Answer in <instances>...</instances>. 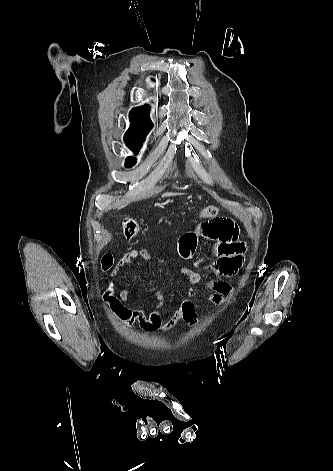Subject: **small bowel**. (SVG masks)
<instances>
[{"label":"small bowel","mask_w":333,"mask_h":471,"mask_svg":"<svg viewBox=\"0 0 333 471\" xmlns=\"http://www.w3.org/2000/svg\"><path fill=\"white\" fill-rule=\"evenodd\" d=\"M194 231L184 234L179 241V251L184 258H192L195 254L199 239L211 240L215 243L214 252L216 261L206 271L183 267L181 274L192 286L188 296L176 311L166 320L161 316L159 308L146 312L142 309H132L126 304L127 291L119 294L115 291V282L112 281L107 291L105 299L109 303L113 314L125 326L130 327L138 324L146 332L169 331L174 328L179 321H184L190 326H196L198 316L194 301L197 292L194 286L205 284L209 290L207 300L213 304H224L230 298L233 287L225 278L236 275L244 265L247 244L240 239V231L236 221L227 216L205 217ZM136 258L144 261L150 259V255L145 249H133L125 253L112 271L113 277L119 275L120 269ZM211 275L214 278H211ZM161 304V303H160Z\"/></svg>","instance_id":"c3829d8e"}]
</instances>
